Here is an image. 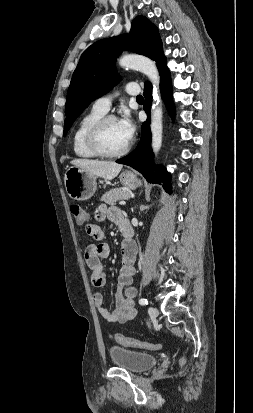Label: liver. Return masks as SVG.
<instances>
[{
    "instance_id": "liver-1",
    "label": "liver",
    "mask_w": 253,
    "mask_h": 413,
    "mask_svg": "<svg viewBox=\"0 0 253 413\" xmlns=\"http://www.w3.org/2000/svg\"><path fill=\"white\" fill-rule=\"evenodd\" d=\"M71 164L85 170L86 172L94 176L107 180L115 178L123 167L122 164L115 162L89 159H75L71 161Z\"/></svg>"
}]
</instances>
